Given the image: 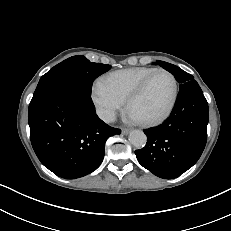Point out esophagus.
I'll use <instances>...</instances> for the list:
<instances>
[{
	"label": "esophagus",
	"instance_id": "obj_1",
	"mask_svg": "<svg viewBox=\"0 0 231 231\" xmlns=\"http://www.w3.org/2000/svg\"><path fill=\"white\" fill-rule=\"evenodd\" d=\"M129 132H130V130L127 129V128H123V129H122V134H123V135H127Z\"/></svg>",
	"mask_w": 231,
	"mask_h": 231
}]
</instances>
